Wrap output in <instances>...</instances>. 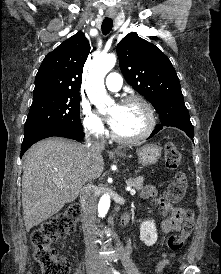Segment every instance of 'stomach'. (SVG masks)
Returning a JSON list of instances; mask_svg holds the SVG:
<instances>
[{
	"label": "stomach",
	"instance_id": "stomach-1",
	"mask_svg": "<svg viewBox=\"0 0 221 274\" xmlns=\"http://www.w3.org/2000/svg\"><path fill=\"white\" fill-rule=\"evenodd\" d=\"M125 156V154H120ZM138 162L143 166L155 164L161 157V148L156 144H146L137 150Z\"/></svg>",
	"mask_w": 221,
	"mask_h": 274
}]
</instances>
